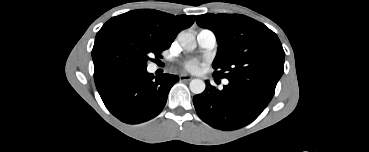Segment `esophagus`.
<instances>
[{
  "label": "esophagus",
  "instance_id": "34e87169",
  "mask_svg": "<svg viewBox=\"0 0 369 152\" xmlns=\"http://www.w3.org/2000/svg\"><path fill=\"white\" fill-rule=\"evenodd\" d=\"M179 79H180V81H190L192 79V77L187 75V74H181L179 76Z\"/></svg>",
  "mask_w": 369,
  "mask_h": 152
}]
</instances>
